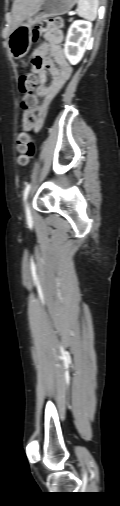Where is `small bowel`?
<instances>
[{
    "instance_id": "c3829d8e",
    "label": "small bowel",
    "mask_w": 120,
    "mask_h": 506,
    "mask_svg": "<svg viewBox=\"0 0 120 506\" xmlns=\"http://www.w3.org/2000/svg\"><path fill=\"white\" fill-rule=\"evenodd\" d=\"M45 38L46 42L38 46L32 54L33 70L38 75L36 93L44 99L36 108L37 118L34 124L36 132L43 126L50 102L65 85L72 72V68L66 62L60 45L63 39L62 32L60 30H53L48 32ZM47 73L52 77V82L49 86L45 85Z\"/></svg>"
}]
</instances>
